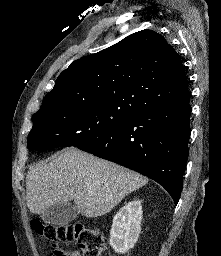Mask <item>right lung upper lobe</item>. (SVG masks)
Here are the masks:
<instances>
[{
	"instance_id": "right-lung-upper-lobe-1",
	"label": "right lung upper lobe",
	"mask_w": 221,
	"mask_h": 256,
	"mask_svg": "<svg viewBox=\"0 0 221 256\" xmlns=\"http://www.w3.org/2000/svg\"><path fill=\"white\" fill-rule=\"evenodd\" d=\"M189 98L175 49L157 32L142 30L72 62L33 116L86 104L125 107L138 115Z\"/></svg>"
}]
</instances>
